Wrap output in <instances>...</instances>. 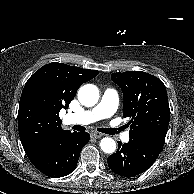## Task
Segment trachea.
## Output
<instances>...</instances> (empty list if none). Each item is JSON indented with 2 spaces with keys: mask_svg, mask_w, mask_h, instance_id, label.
I'll list each match as a JSON object with an SVG mask.
<instances>
[{
  "mask_svg": "<svg viewBox=\"0 0 194 194\" xmlns=\"http://www.w3.org/2000/svg\"><path fill=\"white\" fill-rule=\"evenodd\" d=\"M73 129H74V130H77V131H84V130H86L85 127L80 126V125H74V126H73ZM98 131H99V132H102V133L114 135V134L120 132V131H121V128H118V131H117L116 129L99 128Z\"/></svg>",
  "mask_w": 194,
  "mask_h": 194,
  "instance_id": "3493384b",
  "label": "trachea"
}]
</instances>
